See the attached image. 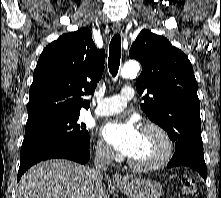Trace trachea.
Segmentation results:
<instances>
[{"label":"trachea","instance_id":"obj_1","mask_svg":"<svg viewBox=\"0 0 221 198\" xmlns=\"http://www.w3.org/2000/svg\"><path fill=\"white\" fill-rule=\"evenodd\" d=\"M121 58V37L119 34L113 36L109 45L108 68L113 77L118 73Z\"/></svg>","mask_w":221,"mask_h":198}]
</instances>
